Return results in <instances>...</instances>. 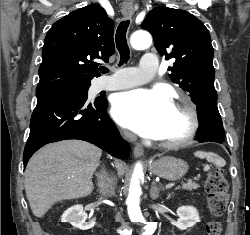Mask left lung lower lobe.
Listing matches in <instances>:
<instances>
[{
	"mask_svg": "<svg viewBox=\"0 0 250 235\" xmlns=\"http://www.w3.org/2000/svg\"><path fill=\"white\" fill-rule=\"evenodd\" d=\"M198 119L201 126L198 129L199 142L213 141L221 143L224 137L222 119L217 108L216 100H209L198 106Z\"/></svg>",
	"mask_w": 250,
	"mask_h": 235,
	"instance_id": "left-lung-lower-lobe-1",
	"label": "left lung lower lobe"
}]
</instances>
